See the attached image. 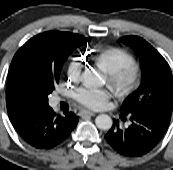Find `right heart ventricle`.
Returning <instances> with one entry per match:
<instances>
[{
  "label": "right heart ventricle",
  "instance_id": "right-heart-ventricle-1",
  "mask_svg": "<svg viewBox=\"0 0 173 170\" xmlns=\"http://www.w3.org/2000/svg\"><path fill=\"white\" fill-rule=\"evenodd\" d=\"M124 65H125V62H124L123 60H120V61L118 62L117 68H118V69H122V68L124 67Z\"/></svg>",
  "mask_w": 173,
  "mask_h": 170
}]
</instances>
